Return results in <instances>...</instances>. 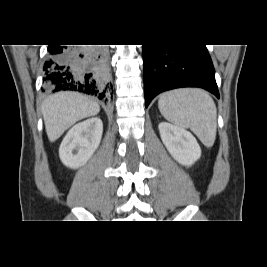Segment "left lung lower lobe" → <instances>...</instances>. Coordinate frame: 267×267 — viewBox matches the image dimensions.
<instances>
[{
	"mask_svg": "<svg viewBox=\"0 0 267 267\" xmlns=\"http://www.w3.org/2000/svg\"><path fill=\"white\" fill-rule=\"evenodd\" d=\"M145 104L159 93L201 87L219 98L212 60L205 45H143Z\"/></svg>",
	"mask_w": 267,
	"mask_h": 267,
	"instance_id": "1",
	"label": "left lung lower lobe"
}]
</instances>
